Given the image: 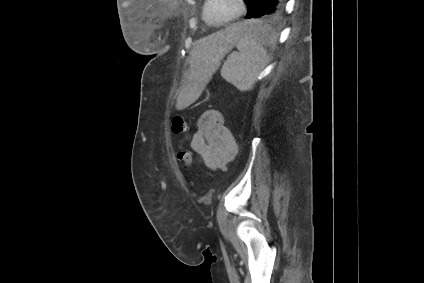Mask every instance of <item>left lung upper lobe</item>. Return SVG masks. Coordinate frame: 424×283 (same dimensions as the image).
<instances>
[{
  "instance_id": "1",
  "label": "left lung upper lobe",
  "mask_w": 424,
  "mask_h": 283,
  "mask_svg": "<svg viewBox=\"0 0 424 283\" xmlns=\"http://www.w3.org/2000/svg\"><path fill=\"white\" fill-rule=\"evenodd\" d=\"M258 1L259 0H246V4L248 5V14L246 15L245 18H250L255 13ZM282 9H283V7H281L278 11L274 12L271 15H267V16L260 17V18H262V19L275 18L276 16H278L281 13Z\"/></svg>"
}]
</instances>
